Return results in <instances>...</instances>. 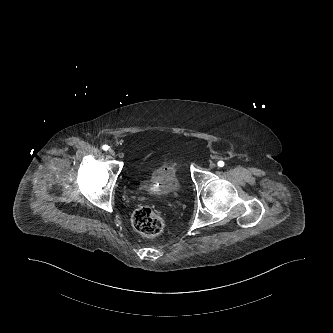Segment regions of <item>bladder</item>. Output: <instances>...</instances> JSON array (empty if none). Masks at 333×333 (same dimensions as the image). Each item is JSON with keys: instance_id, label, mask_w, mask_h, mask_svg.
I'll list each match as a JSON object with an SVG mask.
<instances>
[{"instance_id": "31cf9c89", "label": "bladder", "mask_w": 333, "mask_h": 333, "mask_svg": "<svg viewBox=\"0 0 333 333\" xmlns=\"http://www.w3.org/2000/svg\"><path fill=\"white\" fill-rule=\"evenodd\" d=\"M138 184L147 191L161 194H172L179 189V181L171 168H155Z\"/></svg>"}]
</instances>
